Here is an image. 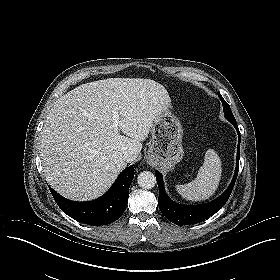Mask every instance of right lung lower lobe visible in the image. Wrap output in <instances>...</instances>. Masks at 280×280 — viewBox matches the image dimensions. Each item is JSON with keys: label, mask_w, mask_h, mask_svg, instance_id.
I'll return each instance as SVG.
<instances>
[{"label": "right lung lower lobe", "mask_w": 280, "mask_h": 280, "mask_svg": "<svg viewBox=\"0 0 280 280\" xmlns=\"http://www.w3.org/2000/svg\"><path fill=\"white\" fill-rule=\"evenodd\" d=\"M134 177L133 165L123 170L113 186L100 198L88 202L68 200L50 188L61 210L68 216L89 225L101 226L116 221L126 209L129 187Z\"/></svg>", "instance_id": "98d812e1"}]
</instances>
